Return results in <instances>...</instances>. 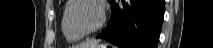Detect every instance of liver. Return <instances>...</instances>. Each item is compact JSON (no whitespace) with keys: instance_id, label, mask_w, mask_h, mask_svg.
Listing matches in <instances>:
<instances>
[{"instance_id":"1","label":"liver","mask_w":213,"mask_h":48,"mask_svg":"<svg viewBox=\"0 0 213 48\" xmlns=\"http://www.w3.org/2000/svg\"><path fill=\"white\" fill-rule=\"evenodd\" d=\"M98 44L96 40H88L80 45H77L75 48H92Z\"/></svg>"}]
</instances>
